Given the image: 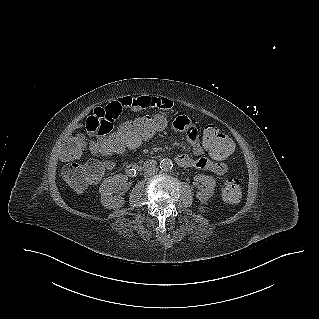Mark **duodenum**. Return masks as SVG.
<instances>
[{
    "label": "duodenum",
    "mask_w": 319,
    "mask_h": 319,
    "mask_svg": "<svg viewBox=\"0 0 319 319\" xmlns=\"http://www.w3.org/2000/svg\"><path fill=\"white\" fill-rule=\"evenodd\" d=\"M155 167H156V162L154 160H147L146 162L142 164L129 163L128 165H126L125 170L127 175L134 177L142 171L152 170Z\"/></svg>",
    "instance_id": "410a0bca"
}]
</instances>
